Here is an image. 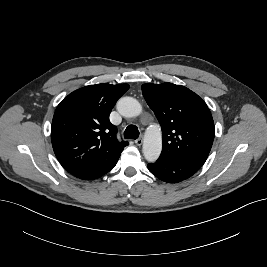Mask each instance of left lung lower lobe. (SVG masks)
<instances>
[{"label":"left lung lower lobe","instance_id":"0a47b994","mask_svg":"<svg viewBox=\"0 0 267 267\" xmlns=\"http://www.w3.org/2000/svg\"><path fill=\"white\" fill-rule=\"evenodd\" d=\"M201 166L179 161L158 158L155 163L148 164V170L160 180L175 183L194 175Z\"/></svg>","mask_w":267,"mask_h":267}]
</instances>
